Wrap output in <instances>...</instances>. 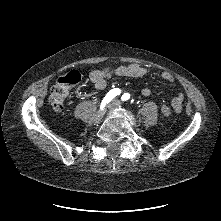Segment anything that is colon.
Masks as SVG:
<instances>
[{
    "label": "colon",
    "mask_w": 221,
    "mask_h": 221,
    "mask_svg": "<svg viewBox=\"0 0 221 221\" xmlns=\"http://www.w3.org/2000/svg\"><path fill=\"white\" fill-rule=\"evenodd\" d=\"M79 81L80 74L77 71H71L57 79L49 95V103L55 111H61L64 108V102L69 95L71 87ZM161 111L165 116H171L174 112L171 107L166 105L161 107Z\"/></svg>",
    "instance_id": "5ec220e1"
}]
</instances>
